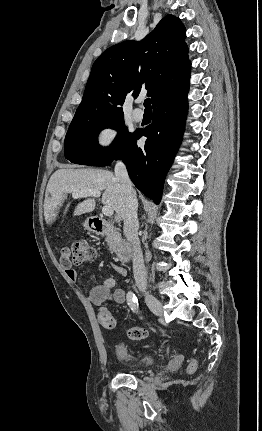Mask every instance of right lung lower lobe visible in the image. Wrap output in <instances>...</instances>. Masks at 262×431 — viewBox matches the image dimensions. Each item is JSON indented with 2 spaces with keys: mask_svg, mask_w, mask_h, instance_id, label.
Returning <instances> with one entry per match:
<instances>
[{
  "mask_svg": "<svg viewBox=\"0 0 262 431\" xmlns=\"http://www.w3.org/2000/svg\"><path fill=\"white\" fill-rule=\"evenodd\" d=\"M187 92L154 107L152 123L135 131L123 152L122 160L135 186L156 204L161 200L165 176L181 143L187 115ZM146 136L144 148L136 140Z\"/></svg>",
  "mask_w": 262,
  "mask_h": 431,
  "instance_id": "1",
  "label": "right lung lower lobe"
}]
</instances>
